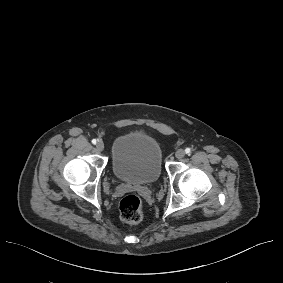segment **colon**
<instances>
[{"label":"colon","instance_id":"1","mask_svg":"<svg viewBox=\"0 0 283 283\" xmlns=\"http://www.w3.org/2000/svg\"><path fill=\"white\" fill-rule=\"evenodd\" d=\"M120 218L128 225L139 224L144 217V206L141 199L130 194L125 196L119 202Z\"/></svg>","mask_w":283,"mask_h":283}]
</instances>
